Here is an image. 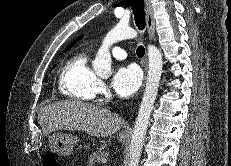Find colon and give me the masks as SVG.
Listing matches in <instances>:
<instances>
[{
  "instance_id": "obj_1",
  "label": "colon",
  "mask_w": 231,
  "mask_h": 166,
  "mask_svg": "<svg viewBox=\"0 0 231 166\" xmlns=\"http://www.w3.org/2000/svg\"><path fill=\"white\" fill-rule=\"evenodd\" d=\"M43 166H64L54 155L47 154L43 158Z\"/></svg>"
}]
</instances>
